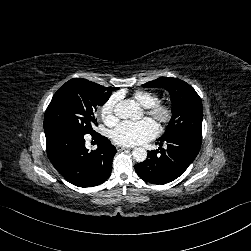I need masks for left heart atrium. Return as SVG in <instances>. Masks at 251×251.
Returning <instances> with one entry per match:
<instances>
[{
	"label": "left heart atrium",
	"instance_id": "obj_1",
	"mask_svg": "<svg viewBox=\"0 0 251 251\" xmlns=\"http://www.w3.org/2000/svg\"><path fill=\"white\" fill-rule=\"evenodd\" d=\"M157 133L158 126L152 119L124 121L112 131V140L117 145L134 146L153 139Z\"/></svg>",
	"mask_w": 251,
	"mask_h": 251
}]
</instances>
